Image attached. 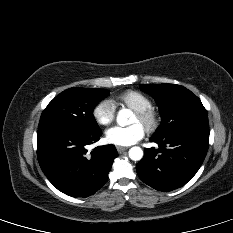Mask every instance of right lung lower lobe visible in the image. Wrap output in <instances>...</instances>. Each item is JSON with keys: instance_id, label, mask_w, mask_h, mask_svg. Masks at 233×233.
I'll use <instances>...</instances> for the list:
<instances>
[{"instance_id": "1", "label": "right lung lower lobe", "mask_w": 233, "mask_h": 233, "mask_svg": "<svg viewBox=\"0 0 233 233\" xmlns=\"http://www.w3.org/2000/svg\"><path fill=\"white\" fill-rule=\"evenodd\" d=\"M102 134L65 126H47L37 132V156L48 180L72 197H88L107 181L117 151L104 145L88 152Z\"/></svg>"}]
</instances>
